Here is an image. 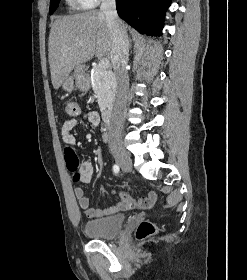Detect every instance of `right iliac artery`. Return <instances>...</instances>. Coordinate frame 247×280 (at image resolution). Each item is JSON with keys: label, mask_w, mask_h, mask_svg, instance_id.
I'll return each instance as SVG.
<instances>
[{"label": "right iliac artery", "mask_w": 247, "mask_h": 280, "mask_svg": "<svg viewBox=\"0 0 247 280\" xmlns=\"http://www.w3.org/2000/svg\"><path fill=\"white\" fill-rule=\"evenodd\" d=\"M113 171L115 174L119 172V166L117 164L113 165Z\"/></svg>", "instance_id": "right-iliac-artery-1"}]
</instances>
